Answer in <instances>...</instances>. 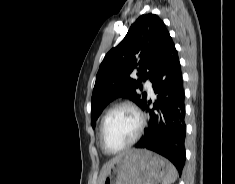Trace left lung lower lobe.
<instances>
[{
	"mask_svg": "<svg viewBox=\"0 0 235 184\" xmlns=\"http://www.w3.org/2000/svg\"><path fill=\"white\" fill-rule=\"evenodd\" d=\"M157 100L150 109V100L143 110L149 113V125L135 146L154 151L168 160L182 173L185 165L184 90L178 53L170 36L166 37L150 76Z\"/></svg>",
	"mask_w": 235,
	"mask_h": 184,
	"instance_id": "left-lung-lower-lobe-1",
	"label": "left lung lower lobe"
}]
</instances>
